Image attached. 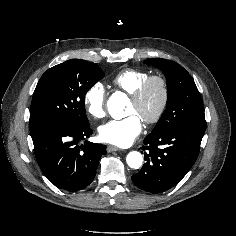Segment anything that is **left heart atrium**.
Wrapping results in <instances>:
<instances>
[{"mask_svg": "<svg viewBox=\"0 0 236 236\" xmlns=\"http://www.w3.org/2000/svg\"><path fill=\"white\" fill-rule=\"evenodd\" d=\"M142 131V120L132 114L119 120H111L99 128V137L103 142L126 147L133 143Z\"/></svg>", "mask_w": 236, "mask_h": 236, "instance_id": "1", "label": "left heart atrium"}]
</instances>
